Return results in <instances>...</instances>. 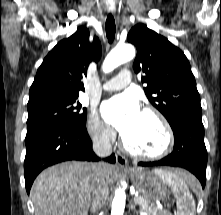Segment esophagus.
Listing matches in <instances>:
<instances>
[{"instance_id": "1", "label": "esophagus", "mask_w": 221, "mask_h": 215, "mask_svg": "<svg viewBox=\"0 0 221 215\" xmlns=\"http://www.w3.org/2000/svg\"><path fill=\"white\" fill-rule=\"evenodd\" d=\"M108 11L111 14H115L116 8L114 4H109L108 5ZM116 162L120 167H127L128 166V160L126 159L125 156H123L121 153L116 154Z\"/></svg>"}]
</instances>
